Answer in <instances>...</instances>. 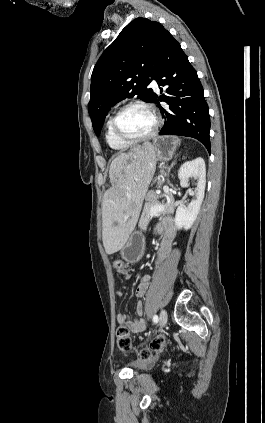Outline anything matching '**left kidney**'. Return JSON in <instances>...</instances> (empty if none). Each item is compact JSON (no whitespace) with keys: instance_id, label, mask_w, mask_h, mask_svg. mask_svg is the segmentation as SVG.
Wrapping results in <instances>:
<instances>
[{"instance_id":"left-kidney-1","label":"left kidney","mask_w":265,"mask_h":423,"mask_svg":"<svg viewBox=\"0 0 265 423\" xmlns=\"http://www.w3.org/2000/svg\"><path fill=\"white\" fill-rule=\"evenodd\" d=\"M178 177L181 187H188L190 177L197 179L195 199L187 207L180 205L176 210L175 225L178 230H188L195 222L204 199L206 186V166L204 159L198 157L192 161L185 162L179 169Z\"/></svg>"}]
</instances>
